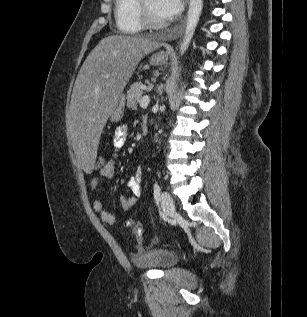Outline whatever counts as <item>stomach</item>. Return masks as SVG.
I'll return each mask as SVG.
<instances>
[{
    "label": "stomach",
    "mask_w": 307,
    "mask_h": 317,
    "mask_svg": "<svg viewBox=\"0 0 307 317\" xmlns=\"http://www.w3.org/2000/svg\"><path fill=\"white\" fill-rule=\"evenodd\" d=\"M168 59V56L164 53L154 54L150 62L153 65H162ZM125 107V97L121 95L117 100L112 114L110 115L111 121L118 122L122 119Z\"/></svg>",
    "instance_id": "0dacf381"
}]
</instances>
